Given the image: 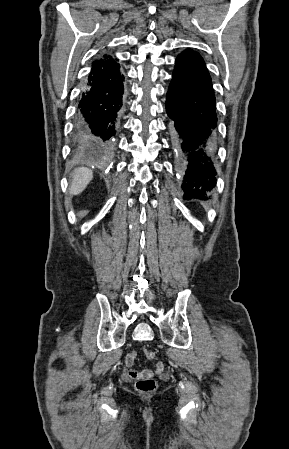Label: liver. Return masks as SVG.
<instances>
[{
	"label": "liver",
	"instance_id": "1",
	"mask_svg": "<svg viewBox=\"0 0 289 449\" xmlns=\"http://www.w3.org/2000/svg\"><path fill=\"white\" fill-rule=\"evenodd\" d=\"M72 182L69 192L71 195H78L85 190L93 178V172L87 168H78L72 175Z\"/></svg>",
	"mask_w": 289,
	"mask_h": 449
}]
</instances>
